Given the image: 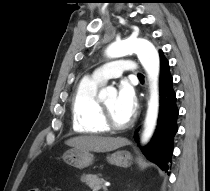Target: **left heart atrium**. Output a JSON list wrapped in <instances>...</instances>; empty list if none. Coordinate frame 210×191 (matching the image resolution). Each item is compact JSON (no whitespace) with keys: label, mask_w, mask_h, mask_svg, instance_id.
<instances>
[{"label":"left heart atrium","mask_w":210,"mask_h":191,"mask_svg":"<svg viewBox=\"0 0 210 191\" xmlns=\"http://www.w3.org/2000/svg\"><path fill=\"white\" fill-rule=\"evenodd\" d=\"M117 107L127 118H131L137 108V97L128 82H122L117 95Z\"/></svg>","instance_id":"1"}]
</instances>
